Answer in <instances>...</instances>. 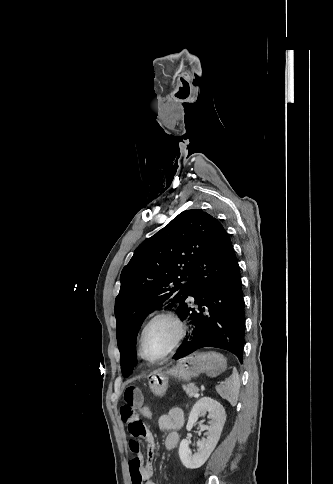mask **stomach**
I'll use <instances>...</instances> for the list:
<instances>
[{
    "label": "stomach",
    "mask_w": 333,
    "mask_h": 484,
    "mask_svg": "<svg viewBox=\"0 0 333 484\" xmlns=\"http://www.w3.org/2000/svg\"><path fill=\"white\" fill-rule=\"evenodd\" d=\"M227 368L226 359L218 353H192L179 358L171 366L158 368L150 373L149 387L154 395L163 397L168 388L169 377L189 381L201 373L216 377Z\"/></svg>",
    "instance_id": "stomach-1"
}]
</instances>
